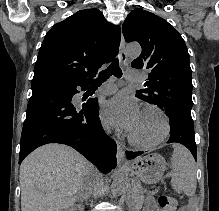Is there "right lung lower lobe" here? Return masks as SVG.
<instances>
[{
    "instance_id": "1",
    "label": "right lung lower lobe",
    "mask_w": 219,
    "mask_h": 211,
    "mask_svg": "<svg viewBox=\"0 0 219 211\" xmlns=\"http://www.w3.org/2000/svg\"><path fill=\"white\" fill-rule=\"evenodd\" d=\"M90 83L32 85L21 141L19 163L34 149L48 143L66 144L107 173L115 168L116 143L99 120L97 99L78 102L74 95Z\"/></svg>"
}]
</instances>
